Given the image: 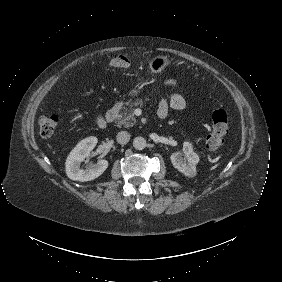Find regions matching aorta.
I'll return each instance as SVG.
<instances>
[{
	"mask_svg": "<svg viewBox=\"0 0 282 282\" xmlns=\"http://www.w3.org/2000/svg\"><path fill=\"white\" fill-rule=\"evenodd\" d=\"M133 146L137 150H143V149H145L147 147V141L143 137H136L133 140Z\"/></svg>",
	"mask_w": 282,
	"mask_h": 282,
	"instance_id": "762f6f07",
	"label": "aorta"
}]
</instances>
